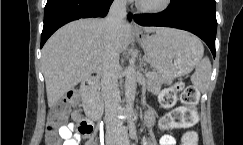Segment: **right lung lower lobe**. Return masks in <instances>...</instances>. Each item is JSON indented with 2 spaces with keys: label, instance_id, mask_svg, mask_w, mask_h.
Returning <instances> with one entry per match:
<instances>
[{
  "label": "right lung lower lobe",
  "instance_id": "1",
  "mask_svg": "<svg viewBox=\"0 0 243 145\" xmlns=\"http://www.w3.org/2000/svg\"><path fill=\"white\" fill-rule=\"evenodd\" d=\"M113 0H47L41 48L47 39L64 24L80 18L104 17ZM129 20L132 15L129 14Z\"/></svg>",
  "mask_w": 243,
  "mask_h": 145
}]
</instances>
